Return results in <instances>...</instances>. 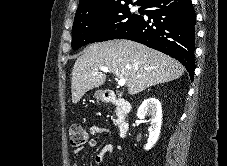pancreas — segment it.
Returning a JSON list of instances; mask_svg holds the SVG:
<instances>
[{"label":"pancreas","instance_id":"1","mask_svg":"<svg viewBox=\"0 0 227 166\" xmlns=\"http://www.w3.org/2000/svg\"><path fill=\"white\" fill-rule=\"evenodd\" d=\"M113 123H114V125H118L119 124V120L113 119Z\"/></svg>","mask_w":227,"mask_h":166}]
</instances>
